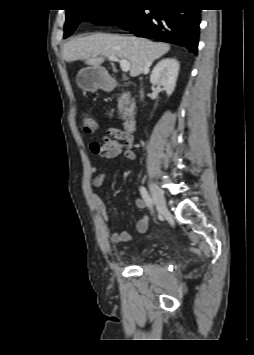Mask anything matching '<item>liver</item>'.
Returning <instances> with one entry per match:
<instances>
[{"mask_svg":"<svg viewBox=\"0 0 254 355\" xmlns=\"http://www.w3.org/2000/svg\"><path fill=\"white\" fill-rule=\"evenodd\" d=\"M169 50L168 44L144 38L95 33L67 42L62 56L67 62L83 60L93 67H100L106 57L116 56L129 61L130 75L136 77L143 72L148 73L153 61Z\"/></svg>","mask_w":254,"mask_h":355,"instance_id":"obj_1","label":"liver"}]
</instances>
